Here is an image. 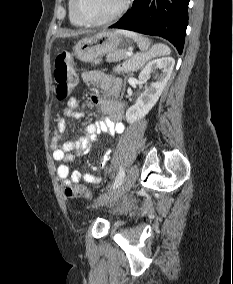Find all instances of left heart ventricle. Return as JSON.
<instances>
[{
    "mask_svg": "<svg viewBox=\"0 0 233 284\" xmlns=\"http://www.w3.org/2000/svg\"><path fill=\"white\" fill-rule=\"evenodd\" d=\"M123 0H81L82 13L89 19L101 20L114 14Z\"/></svg>",
    "mask_w": 233,
    "mask_h": 284,
    "instance_id": "left-heart-ventricle-1",
    "label": "left heart ventricle"
}]
</instances>
